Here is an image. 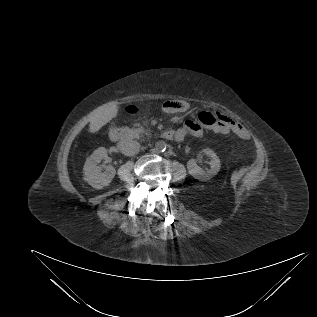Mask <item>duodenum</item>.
Masks as SVG:
<instances>
[{
    "mask_svg": "<svg viewBox=\"0 0 317 317\" xmlns=\"http://www.w3.org/2000/svg\"><path fill=\"white\" fill-rule=\"evenodd\" d=\"M134 131L123 127H115L110 132V139L114 142H120L133 138ZM163 137L167 140L175 139V132L173 130H167L163 133Z\"/></svg>",
    "mask_w": 317,
    "mask_h": 317,
    "instance_id": "obj_1",
    "label": "duodenum"
}]
</instances>
